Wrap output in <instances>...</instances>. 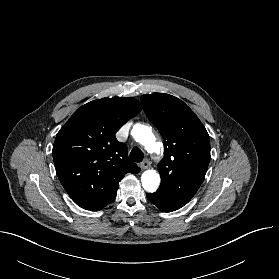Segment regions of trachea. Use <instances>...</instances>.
<instances>
[{
  "label": "trachea",
  "mask_w": 279,
  "mask_h": 279,
  "mask_svg": "<svg viewBox=\"0 0 279 279\" xmlns=\"http://www.w3.org/2000/svg\"><path fill=\"white\" fill-rule=\"evenodd\" d=\"M130 158L135 162H141L144 158V154L139 148H133L130 153Z\"/></svg>",
  "instance_id": "obj_1"
}]
</instances>
